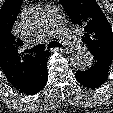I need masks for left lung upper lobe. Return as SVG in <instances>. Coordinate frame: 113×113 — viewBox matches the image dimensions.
Segmentation results:
<instances>
[{
  "label": "left lung upper lobe",
  "mask_w": 113,
  "mask_h": 113,
  "mask_svg": "<svg viewBox=\"0 0 113 113\" xmlns=\"http://www.w3.org/2000/svg\"><path fill=\"white\" fill-rule=\"evenodd\" d=\"M73 24L84 29V41L92 55L113 60V33L96 0H59Z\"/></svg>",
  "instance_id": "1"
}]
</instances>
